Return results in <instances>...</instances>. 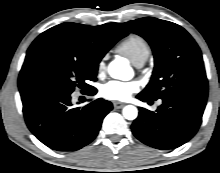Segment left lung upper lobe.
Returning <instances> with one entry per match:
<instances>
[{
  "mask_svg": "<svg viewBox=\"0 0 220 173\" xmlns=\"http://www.w3.org/2000/svg\"><path fill=\"white\" fill-rule=\"evenodd\" d=\"M151 46L155 66L149 84L140 93L152 99L186 96L207 100L208 81L201 51L181 26L146 17L121 23Z\"/></svg>",
  "mask_w": 220,
  "mask_h": 173,
  "instance_id": "5c2ea615",
  "label": "left lung upper lobe"
}]
</instances>
